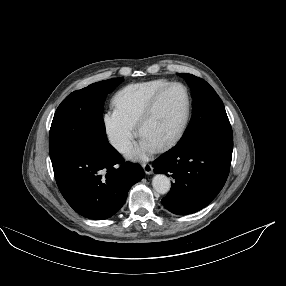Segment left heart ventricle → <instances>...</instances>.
Masks as SVG:
<instances>
[{
	"instance_id": "left-heart-ventricle-1",
	"label": "left heart ventricle",
	"mask_w": 286,
	"mask_h": 286,
	"mask_svg": "<svg viewBox=\"0 0 286 286\" xmlns=\"http://www.w3.org/2000/svg\"><path fill=\"white\" fill-rule=\"evenodd\" d=\"M185 108V95L181 88L167 91L157 103L154 112L144 124L141 136L154 146L166 140L179 126Z\"/></svg>"
}]
</instances>
